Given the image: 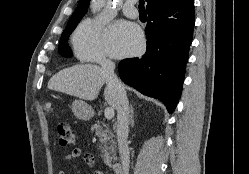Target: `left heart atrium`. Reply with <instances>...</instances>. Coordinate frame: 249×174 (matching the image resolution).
I'll use <instances>...</instances> for the list:
<instances>
[{
    "label": "left heart atrium",
    "mask_w": 249,
    "mask_h": 174,
    "mask_svg": "<svg viewBox=\"0 0 249 174\" xmlns=\"http://www.w3.org/2000/svg\"><path fill=\"white\" fill-rule=\"evenodd\" d=\"M105 42L113 57H123L139 52L143 39L141 31L136 26L119 21L108 29Z\"/></svg>",
    "instance_id": "obj_1"
}]
</instances>
